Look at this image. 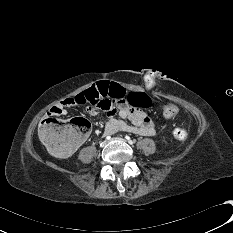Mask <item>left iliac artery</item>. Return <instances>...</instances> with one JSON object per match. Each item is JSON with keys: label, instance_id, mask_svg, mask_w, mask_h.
I'll return each instance as SVG.
<instances>
[{"label": "left iliac artery", "instance_id": "1", "mask_svg": "<svg viewBox=\"0 0 233 233\" xmlns=\"http://www.w3.org/2000/svg\"><path fill=\"white\" fill-rule=\"evenodd\" d=\"M125 138L128 140V142H129L130 144H133V143H134V141L131 140V138H130L129 136H126Z\"/></svg>", "mask_w": 233, "mask_h": 233}]
</instances>
